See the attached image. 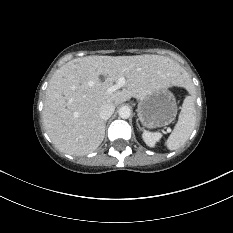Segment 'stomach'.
Masks as SVG:
<instances>
[{
  "label": "stomach",
  "mask_w": 233,
  "mask_h": 233,
  "mask_svg": "<svg viewBox=\"0 0 233 233\" xmlns=\"http://www.w3.org/2000/svg\"><path fill=\"white\" fill-rule=\"evenodd\" d=\"M138 117L144 127L157 128L170 124L176 117L177 104L168 88H162L140 99Z\"/></svg>",
  "instance_id": "obj_1"
}]
</instances>
